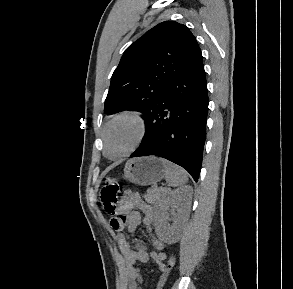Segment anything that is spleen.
<instances>
[{
  "label": "spleen",
  "instance_id": "obj_1",
  "mask_svg": "<svg viewBox=\"0 0 293 289\" xmlns=\"http://www.w3.org/2000/svg\"><path fill=\"white\" fill-rule=\"evenodd\" d=\"M164 167L165 180L169 186L181 187L188 181L186 171L165 159H160Z\"/></svg>",
  "mask_w": 293,
  "mask_h": 289
}]
</instances>
